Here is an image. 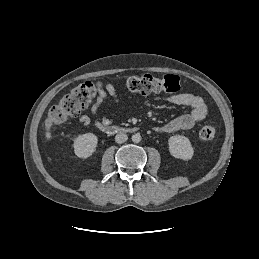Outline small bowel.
Here are the masks:
<instances>
[{"label":"small bowel","mask_w":259,"mask_h":259,"mask_svg":"<svg viewBox=\"0 0 259 259\" xmlns=\"http://www.w3.org/2000/svg\"><path fill=\"white\" fill-rule=\"evenodd\" d=\"M108 97H111L116 102L119 101L112 83H107L106 91H102L91 106V115L94 117L95 125L99 129L111 123L110 118L99 116V111ZM166 100L175 105L188 107L190 108V112L180 115L160 127L154 128L158 133L169 134L182 130H190L196 123L204 120L208 116V106L200 96L190 93H180L168 96ZM78 120L84 126H88L92 121L88 115H81Z\"/></svg>","instance_id":"c3829d8e"}]
</instances>
